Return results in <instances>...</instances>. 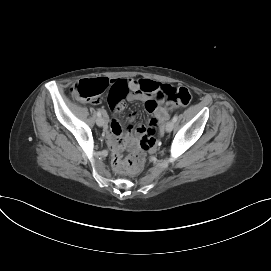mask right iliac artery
<instances>
[{
	"label": "right iliac artery",
	"instance_id": "obj_1",
	"mask_svg": "<svg viewBox=\"0 0 271 271\" xmlns=\"http://www.w3.org/2000/svg\"><path fill=\"white\" fill-rule=\"evenodd\" d=\"M97 116L101 117V112L100 111L97 112Z\"/></svg>",
	"mask_w": 271,
	"mask_h": 271
}]
</instances>
